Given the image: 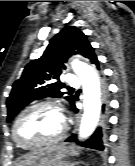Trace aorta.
<instances>
[{"label": "aorta", "mask_w": 135, "mask_h": 166, "mask_svg": "<svg viewBox=\"0 0 135 166\" xmlns=\"http://www.w3.org/2000/svg\"><path fill=\"white\" fill-rule=\"evenodd\" d=\"M83 86V107L79 136L81 139L89 137L97 126L101 112V92L99 78L92 66L79 60L71 63Z\"/></svg>", "instance_id": "1"}]
</instances>
